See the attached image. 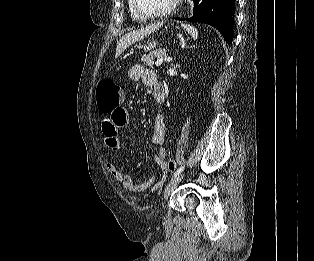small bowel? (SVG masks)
<instances>
[{"instance_id":"small-bowel-1","label":"small bowel","mask_w":314,"mask_h":261,"mask_svg":"<svg viewBox=\"0 0 314 261\" xmlns=\"http://www.w3.org/2000/svg\"><path fill=\"white\" fill-rule=\"evenodd\" d=\"M128 76L132 81H142L145 85L153 88L154 97L156 98V92L163 89L157 74L145 69L141 64H134L128 71ZM129 119L127 109H112L111 113L103 121L101 130L104 131L106 136V144L108 149L118 151L122 148V140L119 137L120 131L126 127V123ZM166 134V121L163 115L158 114L153 122L151 140L152 143L160 146L156 155L154 156L155 162L160 166L164 173L160 177H151L146 182L141 184H135L132 177L123 173L120 168L114 163H108L107 169L109 173L120 183L121 187L128 193L138 194L149 190H155L165 179L166 169V150L161 147L165 141Z\"/></svg>"}]
</instances>
